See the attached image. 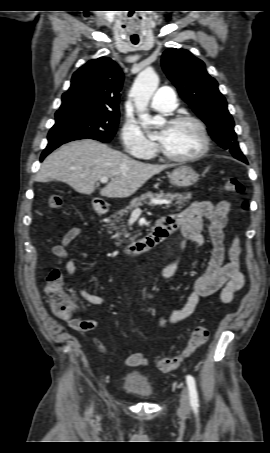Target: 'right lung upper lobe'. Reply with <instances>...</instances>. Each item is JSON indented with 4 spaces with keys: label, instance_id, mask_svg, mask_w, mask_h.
I'll list each match as a JSON object with an SVG mask.
<instances>
[{
    "label": "right lung upper lobe",
    "instance_id": "1",
    "mask_svg": "<svg viewBox=\"0 0 270 453\" xmlns=\"http://www.w3.org/2000/svg\"><path fill=\"white\" fill-rule=\"evenodd\" d=\"M123 73L108 57L90 60L72 77L71 86L62 95L56 112L61 117L78 112L119 113Z\"/></svg>",
    "mask_w": 270,
    "mask_h": 453
}]
</instances>
